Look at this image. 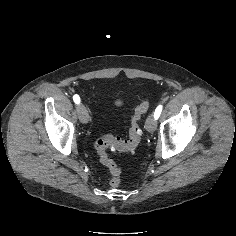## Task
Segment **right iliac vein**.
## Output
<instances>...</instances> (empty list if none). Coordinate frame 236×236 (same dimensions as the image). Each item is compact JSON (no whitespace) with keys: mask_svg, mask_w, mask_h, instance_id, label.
Listing matches in <instances>:
<instances>
[{"mask_svg":"<svg viewBox=\"0 0 236 236\" xmlns=\"http://www.w3.org/2000/svg\"><path fill=\"white\" fill-rule=\"evenodd\" d=\"M77 112H78L79 120L83 124L88 123V121H89V114H88V111H87V109L85 108V106L83 104L78 105Z\"/></svg>","mask_w":236,"mask_h":236,"instance_id":"63e3f726","label":"right iliac vein"}]
</instances>
